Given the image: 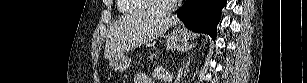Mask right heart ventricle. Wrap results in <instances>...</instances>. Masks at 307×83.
I'll return each instance as SVG.
<instances>
[{"instance_id": "right-heart-ventricle-1", "label": "right heart ventricle", "mask_w": 307, "mask_h": 83, "mask_svg": "<svg viewBox=\"0 0 307 83\" xmlns=\"http://www.w3.org/2000/svg\"><path fill=\"white\" fill-rule=\"evenodd\" d=\"M118 9L122 14L132 15L150 11L147 0H119Z\"/></svg>"}]
</instances>
